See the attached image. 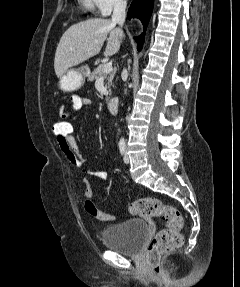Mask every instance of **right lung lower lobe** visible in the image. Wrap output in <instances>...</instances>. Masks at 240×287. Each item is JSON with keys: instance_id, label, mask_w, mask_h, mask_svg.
<instances>
[{"instance_id": "98d812e1", "label": "right lung lower lobe", "mask_w": 240, "mask_h": 287, "mask_svg": "<svg viewBox=\"0 0 240 287\" xmlns=\"http://www.w3.org/2000/svg\"><path fill=\"white\" fill-rule=\"evenodd\" d=\"M153 8V0H133L130 9L128 11V18L131 17L139 18L144 26V31L147 27L148 21L151 16ZM137 42V49L140 51L144 42V33L138 37H134Z\"/></svg>"}]
</instances>
